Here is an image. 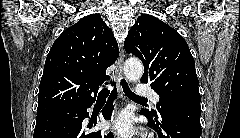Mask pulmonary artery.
Here are the masks:
<instances>
[{
    "label": "pulmonary artery",
    "instance_id": "1",
    "mask_svg": "<svg viewBox=\"0 0 240 138\" xmlns=\"http://www.w3.org/2000/svg\"><path fill=\"white\" fill-rule=\"evenodd\" d=\"M137 95L140 97L146 96L150 98L154 104H157L159 100V96L155 91H153L150 87L142 84L139 85V88L137 90Z\"/></svg>",
    "mask_w": 240,
    "mask_h": 138
}]
</instances>
